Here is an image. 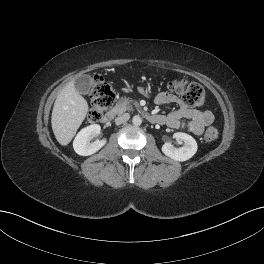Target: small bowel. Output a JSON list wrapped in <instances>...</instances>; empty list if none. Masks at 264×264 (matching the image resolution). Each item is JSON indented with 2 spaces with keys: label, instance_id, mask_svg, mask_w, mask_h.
<instances>
[{
  "label": "small bowel",
  "instance_id": "obj_1",
  "mask_svg": "<svg viewBox=\"0 0 264 264\" xmlns=\"http://www.w3.org/2000/svg\"><path fill=\"white\" fill-rule=\"evenodd\" d=\"M139 92L143 95L149 94L144 87H141ZM155 103L157 105L176 104L179 106L177 110L167 115H161L164 119L161 124H165L170 128H183L195 135H201L204 129L214 121L211 111L191 108L185 105L178 96L169 92L157 94Z\"/></svg>",
  "mask_w": 264,
  "mask_h": 264
}]
</instances>
